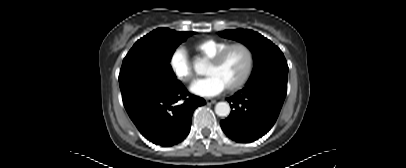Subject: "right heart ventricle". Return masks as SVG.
I'll return each instance as SVG.
<instances>
[{
    "label": "right heart ventricle",
    "instance_id": "1",
    "mask_svg": "<svg viewBox=\"0 0 406 168\" xmlns=\"http://www.w3.org/2000/svg\"><path fill=\"white\" fill-rule=\"evenodd\" d=\"M227 45L229 42L226 40L208 38L194 43L192 47L201 58L209 60Z\"/></svg>",
    "mask_w": 406,
    "mask_h": 168
}]
</instances>
